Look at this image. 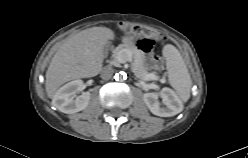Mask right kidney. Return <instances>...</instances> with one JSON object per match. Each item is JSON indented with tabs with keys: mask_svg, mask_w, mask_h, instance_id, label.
<instances>
[{
	"mask_svg": "<svg viewBox=\"0 0 248 158\" xmlns=\"http://www.w3.org/2000/svg\"><path fill=\"white\" fill-rule=\"evenodd\" d=\"M82 84L81 80H74L59 88L55 94V106L59 111L73 114L88 106L91 97L90 92H84L80 96L76 95L81 90Z\"/></svg>",
	"mask_w": 248,
	"mask_h": 158,
	"instance_id": "right-kidney-1",
	"label": "right kidney"
}]
</instances>
